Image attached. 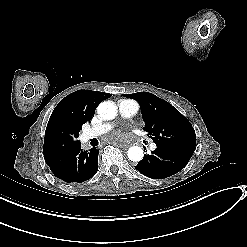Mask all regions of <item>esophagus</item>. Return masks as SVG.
<instances>
[{
  "mask_svg": "<svg viewBox=\"0 0 247 247\" xmlns=\"http://www.w3.org/2000/svg\"><path fill=\"white\" fill-rule=\"evenodd\" d=\"M130 145L128 144H121V147L124 148V149H127Z\"/></svg>",
  "mask_w": 247,
  "mask_h": 247,
  "instance_id": "esophagus-1",
  "label": "esophagus"
}]
</instances>
